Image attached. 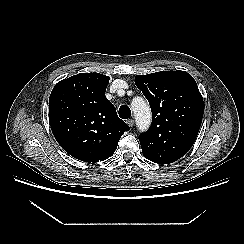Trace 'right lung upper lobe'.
Returning a JSON list of instances; mask_svg holds the SVG:
<instances>
[{"mask_svg": "<svg viewBox=\"0 0 244 244\" xmlns=\"http://www.w3.org/2000/svg\"><path fill=\"white\" fill-rule=\"evenodd\" d=\"M109 77L79 73L58 82L49 97V123L61 147L76 159L110 157L129 126L105 97Z\"/></svg>", "mask_w": 244, "mask_h": 244, "instance_id": "cb5924a9", "label": "right lung upper lobe"}]
</instances>
